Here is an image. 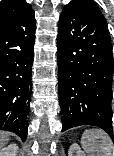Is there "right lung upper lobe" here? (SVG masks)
<instances>
[{
    "label": "right lung upper lobe",
    "mask_w": 114,
    "mask_h": 156,
    "mask_svg": "<svg viewBox=\"0 0 114 156\" xmlns=\"http://www.w3.org/2000/svg\"><path fill=\"white\" fill-rule=\"evenodd\" d=\"M31 10L24 0H3L0 2V25Z\"/></svg>",
    "instance_id": "cb5924a9"
}]
</instances>
